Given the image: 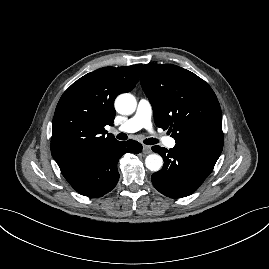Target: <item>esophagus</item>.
<instances>
[{"instance_id":"obj_1","label":"esophagus","mask_w":269,"mask_h":269,"mask_svg":"<svg viewBox=\"0 0 269 269\" xmlns=\"http://www.w3.org/2000/svg\"><path fill=\"white\" fill-rule=\"evenodd\" d=\"M151 152H152V150H151L150 146H147V145L143 146V153L144 154H150Z\"/></svg>"}]
</instances>
